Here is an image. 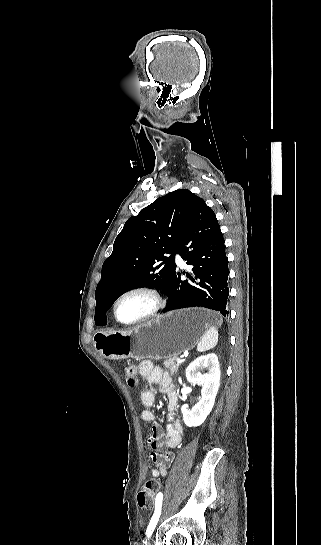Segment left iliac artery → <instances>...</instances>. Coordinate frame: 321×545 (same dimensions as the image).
<instances>
[{"label": "left iliac artery", "mask_w": 321, "mask_h": 545, "mask_svg": "<svg viewBox=\"0 0 321 545\" xmlns=\"http://www.w3.org/2000/svg\"><path fill=\"white\" fill-rule=\"evenodd\" d=\"M162 501H163V494L162 493H159V495L157 496L156 498V504H155V512L150 520V523L147 527V530H146V536L148 538H150V536L152 535L155 527H156V524L159 520V517H160V514H161V508H162Z\"/></svg>", "instance_id": "1"}]
</instances>
